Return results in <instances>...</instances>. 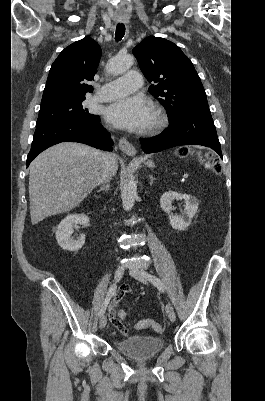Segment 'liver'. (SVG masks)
<instances>
[{
    "instance_id": "obj_1",
    "label": "liver",
    "mask_w": 265,
    "mask_h": 401,
    "mask_svg": "<svg viewBox=\"0 0 265 401\" xmlns=\"http://www.w3.org/2000/svg\"><path fill=\"white\" fill-rule=\"evenodd\" d=\"M104 166V152L78 142H60L38 154L29 166L32 225L78 207L99 184ZM117 170L115 158L113 174Z\"/></svg>"
}]
</instances>
